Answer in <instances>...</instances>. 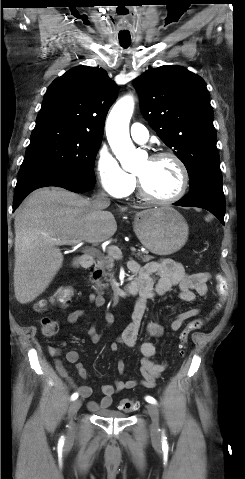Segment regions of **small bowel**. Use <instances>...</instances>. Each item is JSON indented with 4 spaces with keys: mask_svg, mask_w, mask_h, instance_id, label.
<instances>
[{
    "mask_svg": "<svg viewBox=\"0 0 245 479\" xmlns=\"http://www.w3.org/2000/svg\"><path fill=\"white\" fill-rule=\"evenodd\" d=\"M129 269L138 276L137 281L140 284L138 299L133 307L131 320L124 328L122 333L111 343L110 349L117 351L120 346L129 348H137L142 358L140 360L141 379H130L126 381H115L113 384H105L102 386L103 397L100 401H90L88 408L93 412H100L111 406L113 396L123 390H130L141 385L145 388H153L157 379L167 369V364L158 362L154 359L156 355V346L150 341L138 343L139 330L143 324L147 303L149 300L165 295L167 292L177 287L178 298L184 302H195L197 297L207 296L209 294L208 282L210 274L207 272L187 273L183 266L171 259H161L150 261L141 266L136 261L129 263ZM90 302L95 307H101L105 304V298L97 293L89 296ZM200 313L199 308H191L178 314L171 322V330L178 331L189 319ZM84 315V310L76 309L68 316L70 324L76 323ZM107 320L112 322V316L107 314ZM147 332L151 337H158L162 334L163 329L160 325L149 322L146 326ZM89 335L93 342H99L102 338L94 327L89 329ZM48 354L54 358L57 372L61 377L66 379L72 387H74L83 398L90 397L92 389L88 385L76 386L69 375L68 369L59 359L60 349L55 346H49ZM66 360L74 365L76 371L81 378H87L88 372L86 368L79 362V354L75 350L66 353ZM117 371L123 375L126 371L125 363L122 359L117 361Z\"/></svg>",
    "mask_w": 245,
    "mask_h": 479,
    "instance_id": "1",
    "label": "small bowel"
}]
</instances>
